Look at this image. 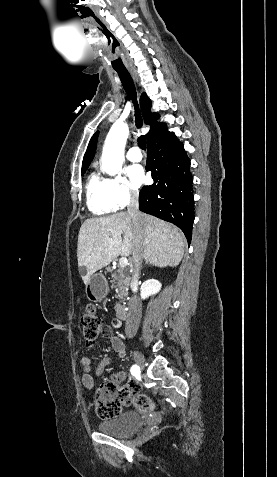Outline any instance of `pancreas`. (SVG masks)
Wrapping results in <instances>:
<instances>
[{"mask_svg": "<svg viewBox=\"0 0 277 477\" xmlns=\"http://www.w3.org/2000/svg\"><path fill=\"white\" fill-rule=\"evenodd\" d=\"M107 271L113 272L110 267L107 268ZM112 279V287L116 288V298L122 301L127 296L130 277L122 267L118 266V269L112 274ZM118 306L119 304L116 305V307Z\"/></svg>", "mask_w": 277, "mask_h": 477, "instance_id": "1", "label": "pancreas"}]
</instances>
